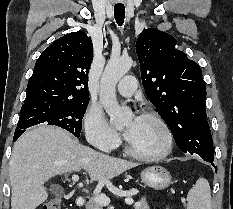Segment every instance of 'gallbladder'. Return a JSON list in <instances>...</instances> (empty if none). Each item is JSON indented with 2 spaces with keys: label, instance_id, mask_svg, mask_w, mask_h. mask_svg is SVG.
<instances>
[{
  "label": "gallbladder",
  "instance_id": "bac80fb5",
  "mask_svg": "<svg viewBox=\"0 0 233 209\" xmlns=\"http://www.w3.org/2000/svg\"><path fill=\"white\" fill-rule=\"evenodd\" d=\"M52 192L55 194V195H62L63 194V189L60 187V186H53L52 187Z\"/></svg>",
  "mask_w": 233,
  "mask_h": 209
}]
</instances>
